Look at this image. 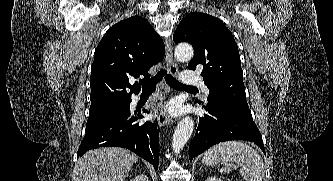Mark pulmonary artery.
<instances>
[{
  "mask_svg": "<svg viewBox=\"0 0 333 181\" xmlns=\"http://www.w3.org/2000/svg\"><path fill=\"white\" fill-rule=\"evenodd\" d=\"M180 80L185 85L200 86L206 95L209 94V90L204 85L202 78L193 71H185L181 73Z\"/></svg>",
  "mask_w": 333,
  "mask_h": 181,
  "instance_id": "obj_1",
  "label": "pulmonary artery"
}]
</instances>
